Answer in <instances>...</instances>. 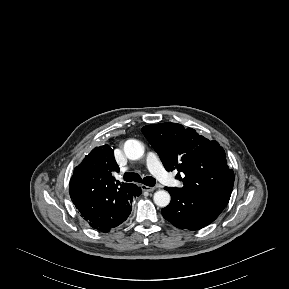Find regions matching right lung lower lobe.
Wrapping results in <instances>:
<instances>
[{
  "label": "right lung lower lobe",
  "instance_id": "1",
  "mask_svg": "<svg viewBox=\"0 0 289 289\" xmlns=\"http://www.w3.org/2000/svg\"><path fill=\"white\" fill-rule=\"evenodd\" d=\"M69 193L86 222L92 228L106 233L127 219L132 201L141 194V189L129 184L117 194H112L100 180L74 172Z\"/></svg>",
  "mask_w": 289,
  "mask_h": 289
}]
</instances>
